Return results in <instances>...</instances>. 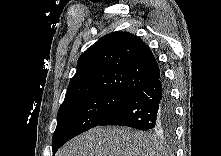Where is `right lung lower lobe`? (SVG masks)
<instances>
[{"label": "right lung lower lobe", "instance_id": "obj_1", "mask_svg": "<svg viewBox=\"0 0 221 156\" xmlns=\"http://www.w3.org/2000/svg\"><path fill=\"white\" fill-rule=\"evenodd\" d=\"M120 125L157 132L173 131V101L164 78L160 76L122 103L99 126Z\"/></svg>", "mask_w": 221, "mask_h": 156}]
</instances>
